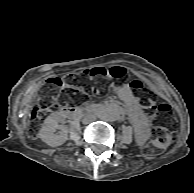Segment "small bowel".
I'll use <instances>...</instances> for the list:
<instances>
[{"label":"small bowel","instance_id":"1","mask_svg":"<svg viewBox=\"0 0 194 193\" xmlns=\"http://www.w3.org/2000/svg\"><path fill=\"white\" fill-rule=\"evenodd\" d=\"M115 92L120 100L125 104V110L135 129L137 141L143 143L148 136L150 126L146 114L140 108L137 99L128 85L116 87Z\"/></svg>","mask_w":194,"mask_h":193}]
</instances>
